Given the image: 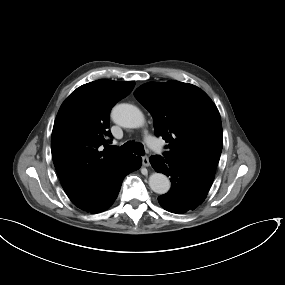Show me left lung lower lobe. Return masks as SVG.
Masks as SVG:
<instances>
[{
  "label": "left lung lower lobe",
  "mask_w": 285,
  "mask_h": 285,
  "mask_svg": "<svg viewBox=\"0 0 285 285\" xmlns=\"http://www.w3.org/2000/svg\"><path fill=\"white\" fill-rule=\"evenodd\" d=\"M152 167L170 177L171 189L158 197L167 211L182 214L197 208L210 190L214 174L161 156H151Z\"/></svg>",
  "instance_id": "1"
}]
</instances>
